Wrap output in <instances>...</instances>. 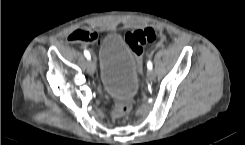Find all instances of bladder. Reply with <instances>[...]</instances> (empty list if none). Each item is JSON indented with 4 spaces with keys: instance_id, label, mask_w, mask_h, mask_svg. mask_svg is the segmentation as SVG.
I'll use <instances>...</instances> for the list:
<instances>
[{
    "instance_id": "bladder-1",
    "label": "bladder",
    "mask_w": 245,
    "mask_h": 145,
    "mask_svg": "<svg viewBox=\"0 0 245 145\" xmlns=\"http://www.w3.org/2000/svg\"><path fill=\"white\" fill-rule=\"evenodd\" d=\"M100 81L104 90L116 98L132 97L138 89L136 60L120 34L105 38L99 51Z\"/></svg>"
}]
</instances>
